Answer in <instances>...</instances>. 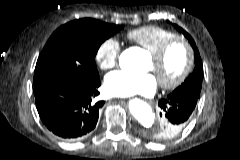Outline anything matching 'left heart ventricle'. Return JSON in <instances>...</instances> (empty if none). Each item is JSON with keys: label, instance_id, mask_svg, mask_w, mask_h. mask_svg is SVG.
<instances>
[{"label": "left heart ventricle", "instance_id": "obj_1", "mask_svg": "<svg viewBox=\"0 0 240 160\" xmlns=\"http://www.w3.org/2000/svg\"><path fill=\"white\" fill-rule=\"evenodd\" d=\"M186 53L182 46H174L168 53L164 62L156 65L150 58L145 66V71H152L156 79L162 82L174 80L184 67Z\"/></svg>", "mask_w": 240, "mask_h": 160}]
</instances>
